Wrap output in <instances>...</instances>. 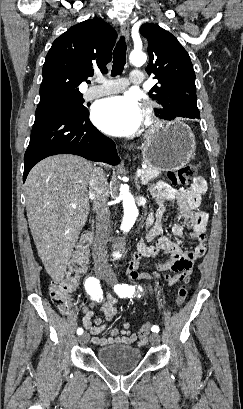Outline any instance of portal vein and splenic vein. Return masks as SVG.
Listing matches in <instances>:
<instances>
[{"label":"portal vein and splenic vein","instance_id":"obj_1","mask_svg":"<svg viewBox=\"0 0 243 409\" xmlns=\"http://www.w3.org/2000/svg\"><path fill=\"white\" fill-rule=\"evenodd\" d=\"M142 174V169H138L136 172L137 177H140Z\"/></svg>","mask_w":243,"mask_h":409}]
</instances>
